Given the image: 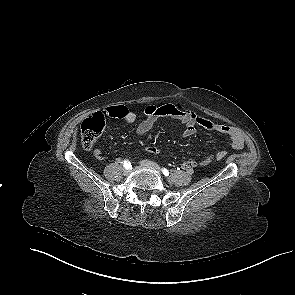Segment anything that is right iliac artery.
Segmentation results:
<instances>
[{
    "mask_svg": "<svg viewBox=\"0 0 295 295\" xmlns=\"http://www.w3.org/2000/svg\"><path fill=\"white\" fill-rule=\"evenodd\" d=\"M123 165H124L125 169H131L132 168L131 163L128 160H124Z\"/></svg>",
    "mask_w": 295,
    "mask_h": 295,
    "instance_id": "right-iliac-artery-1",
    "label": "right iliac artery"
}]
</instances>
